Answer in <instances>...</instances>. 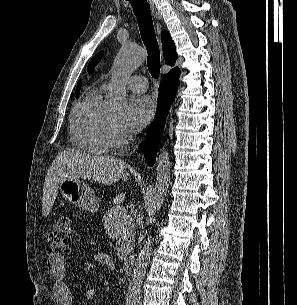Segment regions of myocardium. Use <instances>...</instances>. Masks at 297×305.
<instances>
[{
    "instance_id": "1",
    "label": "myocardium",
    "mask_w": 297,
    "mask_h": 305,
    "mask_svg": "<svg viewBox=\"0 0 297 305\" xmlns=\"http://www.w3.org/2000/svg\"><path fill=\"white\" fill-rule=\"evenodd\" d=\"M107 137L111 147H122L127 141L121 126L115 124L110 118L107 124Z\"/></svg>"
}]
</instances>
